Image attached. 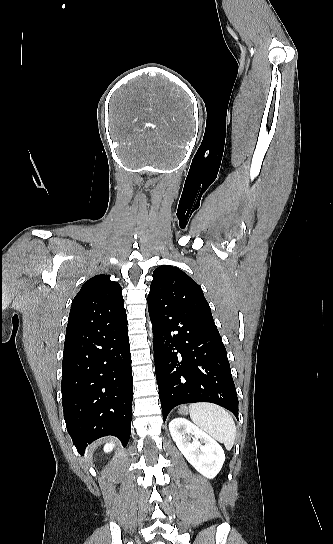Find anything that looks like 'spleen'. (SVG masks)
Returning <instances> with one entry per match:
<instances>
[{"label": "spleen", "instance_id": "3e777b00", "mask_svg": "<svg viewBox=\"0 0 333 544\" xmlns=\"http://www.w3.org/2000/svg\"><path fill=\"white\" fill-rule=\"evenodd\" d=\"M191 420L230 450L236 438V425L232 416L213 403H194L189 406Z\"/></svg>", "mask_w": 333, "mask_h": 544}]
</instances>
